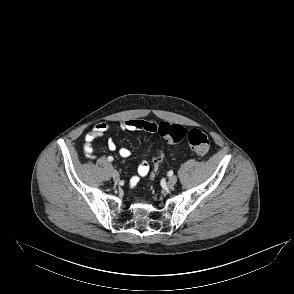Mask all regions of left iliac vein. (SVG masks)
Returning a JSON list of instances; mask_svg holds the SVG:
<instances>
[{
    "mask_svg": "<svg viewBox=\"0 0 294 294\" xmlns=\"http://www.w3.org/2000/svg\"><path fill=\"white\" fill-rule=\"evenodd\" d=\"M177 180H178V178H177L176 176H172V178H169V179H168V185H169V186H173V185H175L176 182H177Z\"/></svg>",
    "mask_w": 294,
    "mask_h": 294,
    "instance_id": "4c4485c4",
    "label": "left iliac vein"
}]
</instances>
